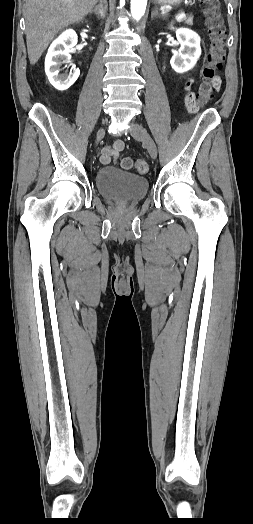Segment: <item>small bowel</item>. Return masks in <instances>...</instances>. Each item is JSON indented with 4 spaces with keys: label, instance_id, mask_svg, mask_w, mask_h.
I'll list each match as a JSON object with an SVG mask.
<instances>
[{
    "label": "small bowel",
    "instance_id": "obj_1",
    "mask_svg": "<svg viewBox=\"0 0 253 524\" xmlns=\"http://www.w3.org/2000/svg\"><path fill=\"white\" fill-rule=\"evenodd\" d=\"M183 101L185 108L190 110V115L192 117H197L202 111L201 104L198 103L197 91L195 88L190 86V82L185 80L183 82ZM221 85V80L219 77L215 78L214 86L216 89H219ZM124 148V142L122 140H116L111 145L105 146L101 150L100 160L104 164H108L112 159L117 158L120 152Z\"/></svg>",
    "mask_w": 253,
    "mask_h": 524
}]
</instances>
